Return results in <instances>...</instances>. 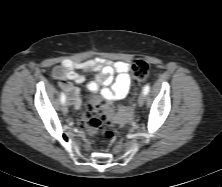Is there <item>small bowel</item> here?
<instances>
[{
  "label": "small bowel",
  "mask_w": 222,
  "mask_h": 187,
  "mask_svg": "<svg viewBox=\"0 0 222 187\" xmlns=\"http://www.w3.org/2000/svg\"><path fill=\"white\" fill-rule=\"evenodd\" d=\"M78 71L95 72L96 79L87 84V89L92 93L100 92L108 101L121 100L129 91L130 75L127 62H112L102 58L85 62L64 60L53 69L52 77L58 80L60 87L70 95V102L76 110L81 107L80 90L70 82L76 84L85 82V76ZM114 74H116V79L113 82ZM119 113H124V111L119 110Z\"/></svg>",
  "instance_id": "c3829d8e"
}]
</instances>
